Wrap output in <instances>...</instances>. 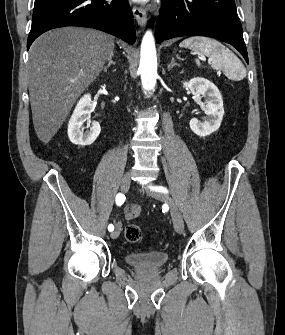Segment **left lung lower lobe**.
Segmentation results:
<instances>
[{
	"instance_id": "0a47b994",
	"label": "left lung lower lobe",
	"mask_w": 285,
	"mask_h": 335,
	"mask_svg": "<svg viewBox=\"0 0 285 335\" xmlns=\"http://www.w3.org/2000/svg\"><path fill=\"white\" fill-rule=\"evenodd\" d=\"M158 43L181 36H207L248 54L234 0H162L155 31Z\"/></svg>"
}]
</instances>
